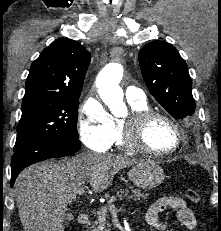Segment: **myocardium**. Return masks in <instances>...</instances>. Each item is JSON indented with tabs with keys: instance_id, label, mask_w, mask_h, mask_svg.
Masks as SVG:
<instances>
[{
	"instance_id": "myocardium-1",
	"label": "myocardium",
	"mask_w": 221,
	"mask_h": 231,
	"mask_svg": "<svg viewBox=\"0 0 221 231\" xmlns=\"http://www.w3.org/2000/svg\"><path fill=\"white\" fill-rule=\"evenodd\" d=\"M161 119L169 123L175 130L177 141L175 146L168 151H155L147 146L145 137L146 130L151 122ZM122 142L129 150L140 151L156 157H167L177 152L182 145L183 130L178 122L160 111L145 109L132 111L121 120Z\"/></svg>"
}]
</instances>
